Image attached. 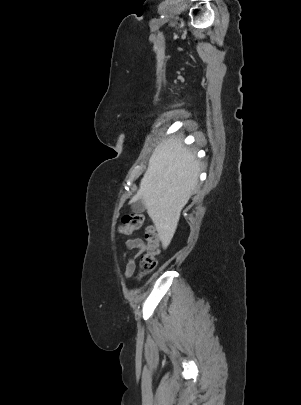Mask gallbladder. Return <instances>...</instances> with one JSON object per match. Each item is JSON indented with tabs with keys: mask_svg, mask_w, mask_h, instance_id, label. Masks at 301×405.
Returning a JSON list of instances; mask_svg holds the SVG:
<instances>
[{
	"mask_svg": "<svg viewBox=\"0 0 301 405\" xmlns=\"http://www.w3.org/2000/svg\"><path fill=\"white\" fill-rule=\"evenodd\" d=\"M131 209L134 213H142L145 211V204L141 199L134 201L131 205Z\"/></svg>",
	"mask_w": 301,
	"mask_h": 405,
	"instance_id": "obj_1",
	"label": "gallbladder"
}]
</instances>
